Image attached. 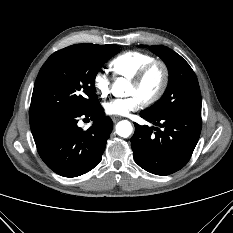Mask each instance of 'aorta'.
<instances>
[{
  "label": "aorta",
  "instance_id": "1",
  "mask_svg": "<svg viewBox=\"0 0 233 233\" xmlns=\"http://www.w3.org/2000/svg\"><path fill=\"white\" fill-rule=\"evenodd\" d=\"M129 86V83L124 78H117L114 83L113 90L118 94H123L124 90ZM132 125L128 120H122L116 125V133L124 138H127L132 133Z\"/></svg>",
  "mask_w": 233,
  "mask_h": 233
}]
</instances>
